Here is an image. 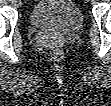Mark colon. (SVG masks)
Masks as SVG:
<instances>
[{
	"instance_id": "obj_1",
	"label": "colon",
	"mask_w": 111,
	"mask_h": 106,
	"mask_svg": "<svg viewBox=\"0 0 111 106\" xmlns=\"http://www.w3.org/2000/svg\"><path fill=\"white\" fill-rule=\"evenodd\" d=\"M61 56H62L61 50H56V51H54V53H53V58H54V59H60Z\"/></svg>"
}]
</instances>
